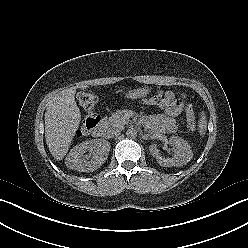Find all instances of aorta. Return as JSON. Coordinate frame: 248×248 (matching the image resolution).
Instances as JSON below:
<instances>
[{
    "label": "aorta",
    "mask_w": 248,
    "mask_h": 248,
    "mask_svg": "<svg viewBox=\"0 0 248 248\" xmlns=\"http://www.w3.org/2000/svg\"><path fill=\"white\" fill-rule=\"evenodd\" d=\"M126 135L129 138H135L137 136V130L135 127H129L126 131Z\"/></svg>",
    "instance_id": "762f6f07"
}]
</instances>
